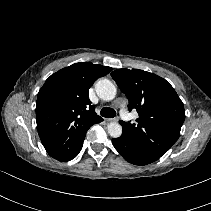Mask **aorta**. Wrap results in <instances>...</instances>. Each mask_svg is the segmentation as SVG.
Listing matches in <instances>:
<instances>
[{
  "label": "aorta",
  "mask_w": 211,
  "mask_h": 211,
  "mask_svg": "<svg viewBox=\"0 0 211 211\" xmlns=\"http://www.w3.org/2000/svg\"><path fill=\"white\" fill-rule=\"evenodd\" d=\"M95 91L99 98L104 101H111L115 98L117 89L108 79H101L95 85ZM108 133L113 138H118L122 134V126L119 123L111 122L107 126Z\"/></svg>",
  "instance_id": "762f6f07"
}]
</instances>
